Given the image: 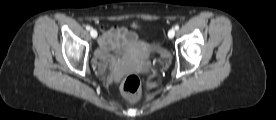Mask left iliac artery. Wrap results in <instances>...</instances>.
I'll use <instances>...</instances> for the list:
<instances>
[{
    "instance_id": "1",
    "label": "left iliac artery",
    "mask_w": 276,
    "mask_h": 120,
    "mask_svg": "<svg viewBox=\"0 0 276 120\" xmlns=\"http://www.w3.org/2000/svg\"><path fill=\"white\" fill-rule=\"evenodd\" d=\"M175 30H179V25H175Z\"/></svg>"
}]
</instances>
